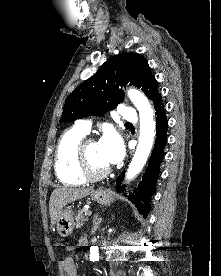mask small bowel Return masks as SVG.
<instances>
[{
    "label": "small bowel",
    "instance_id": "c3829d8e",
    "mask_svg": "<svg viewBox=\"0 0 221 276\" xmlns=\"http://www.w3.org/2000/svg\"><path fill=\"white\" fill-rule=\"evenodd\" d=\"M84 242H85V239H82L81 243H84ZM68 251H71V248H69ZM63 267H64L66 276H78L77 266L71 254H68L67 257L64 259Z\"/></svg>",
    "mask_w": 221,
    "mask_h": 276
}]
</instances>
